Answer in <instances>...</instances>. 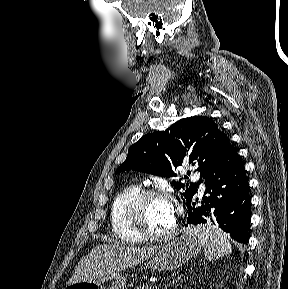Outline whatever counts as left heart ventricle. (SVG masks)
Wrapping results in <instances>:
<instances>
[{
  "label": "left heart ventricle",
  "mask_w": 288,
  "mask_h": 289,
  "mask_svg": "<svg viewBox=\"0 0 288 289\" xmlns=\"http://www.w3.org/2000/svg\"><path fill=\"white\" fill-rule=\"evenodd\" d=\"M174 216L173 206L166 200L149 199L142 208L144 226L153 232H160L171 227Z\"/></svg>",
  "instance_id": "b2bd125f"
}]
</instances>
